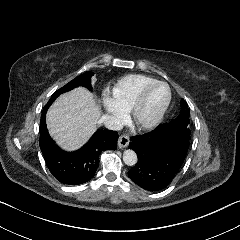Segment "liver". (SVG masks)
<instances>
[{
    "mask_svg": "<svg viewBox=\"0 0 240 240\" xmlns=\"http://www.w3.org/2000/svg\"><path fill=\"white\" fill-rule=\"evenodd\" d=\"M101 107L94 95L78 87L60 95L47 112V127L52 138L66 151L83 146L96 130Z\"/></svg>",
    "mask_w": 240,
    "mask_h": 240,
    "instance_id": "6515ba94",
    "label": "liver"
}]
</instances>
